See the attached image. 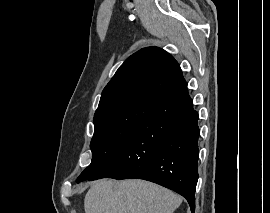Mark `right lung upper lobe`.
Wrapping results in <instances>:
<instances>
[{"instance_id":"cb5924a9","label":"right lung upper lobe","mask_w":270,"mask_h":213,"mask_svg":"<svg viewBox=\"0 0 270 213\" xmlns=\"http://www.w3.org/2000/svg\"><path fill=\"white\" fill-rule=\"evenodd\" d=\"M187 86L176 60L165 50L147 47L131 55L102 92L94 117L131 102H163Z\"/></svg>"}]
</instances>
